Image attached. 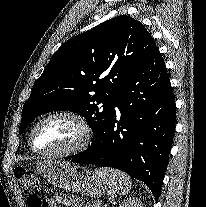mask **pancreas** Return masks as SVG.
<instances>
[{
    "label": "pancreas",
    "mask_w": 206,
    "mask_h": 207,
    "mask_svg": "<svg viewBox=\"0 0 206 207\" xmlns=\"http://www.w3.org/2000/svg\"><path fill=\"white\" fill-rule=\"evenodd\" d=\"M100 205H101V203H100V201H98V200H95L94 202H92V203H87V205L85 206V207H100Z\"/></svg>",
    "instance_id": "cf45deb5"
}]
</instances>
